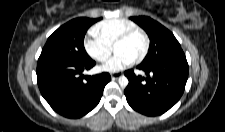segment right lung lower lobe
<instances>
[{
	"mask_svg": "<svg viewBox=\"0 0 225 132\" xmlns=\"http://www.w3.org/2000/svg\"><path fill=\"white\" fill-rule=\"evenodd\" d=\"M95 65L92 59L75 62L54 57H39L37 80L42 96L59 114L79 118L99 103L108 73L84 76L82 72Z\"/></svg>",
	"mask_w": 225,
	"mask_h": 132,
	"instance_id": "1",
	"label": "right lung lower lobe"
}]
</instances>
